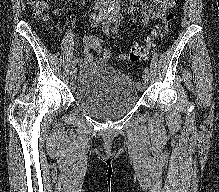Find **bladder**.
<instances>
[{
    "label": "bladder",
    "mask_w": 219,
    "mask_h": 192,
    "mask_svg": "<svg viewBox=\"0 0 219 192\" xmlns=\"http://www.w3.org/2000/svg\"><path fill=\"white\" fill-rule=\"evenodd\" d=\"M75 103L99 119H117L139 101L138 85L114 66L83 65L74 91Z\"/></svg>",
    "instance_id": "bladder-1"
}]
</instances>
